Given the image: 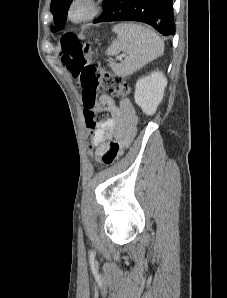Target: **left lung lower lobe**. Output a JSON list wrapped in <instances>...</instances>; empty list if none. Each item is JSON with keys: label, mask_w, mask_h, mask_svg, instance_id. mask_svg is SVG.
Wrapping results in <instances>:
<instances>
[{"label": "left lung lower lobe", "mask_w": 227, "mask_h": 298, "mask_svg": "<svg viewBox=\"0 0 227 298\" xmlns=\"http://www.w3.org/2000/svg\"><path fill=\"white\" fill-rule=\"evenodd\" d=\"M173 19L172 0H109L98 22L141 21L163 35H174Z\"/></svg>", "instance_id": "1"}]
</instances>
